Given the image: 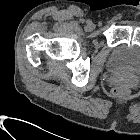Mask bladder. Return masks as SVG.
Instances as JSON below:
<instances>
[{
    "label": "bladder",
    "instance_id": "bladder-1",
    "mask_svg": "<svg viewBox=\"0 0 140 140\" xmlns=\"http://www.w3.org/2000/svg\"><path fill=\"white\" fill-rule=\"evenodd\" d=\"M109 65L125 74H140V45L118 44L111 51Z\"/></svg>",
    "mask_w": 140,
    "mask_h": 140
}]
</instances>
